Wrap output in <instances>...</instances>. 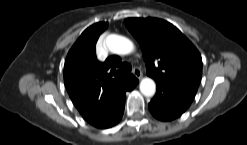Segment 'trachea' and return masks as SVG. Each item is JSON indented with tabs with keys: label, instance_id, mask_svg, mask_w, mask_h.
Returning a JSON list of instances; mask_svg holds the SVG:
<instances>
[{
	"label": "trachea",
	"instance_id": "3493384b",
	"mask_svg": "<svg viewBox=\"0 0 247 145\" xmlns=\"http://www.w3.org/2000/svg\"><path fill=\"white\" fill-rule=\"evenodd\" d=\"M131 70H132V66L127 62H123L120 65V73H126V72L129 73Z\"/></svg>",
	"mask_w": 247,
	"mask_h": 145
}]
</instances>
